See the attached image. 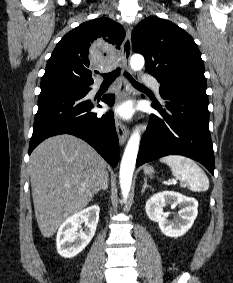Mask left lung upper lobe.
I'll return each instance as SVG.
<instances>
[{"mask_svg": "<svg viewBox=\"0 0 233 283\" xmlns=\"http://www.w3.org/2000/svg\"><path fill=\"white\" fill-rule=\"evenodd\" d=\"M132 48L145 57L146 71L156 77L160 93L170 88H207L204 64L193 38L168 20L146 18L132 33Z\"/></svg>", "mask_w": 233, "mask_h": 283, "instance_id": "5c2ea615", "label": "left lung upper lobe"}]
</instances>
